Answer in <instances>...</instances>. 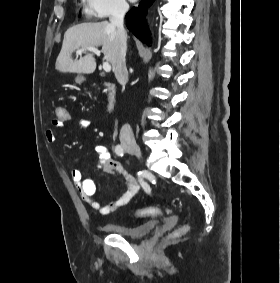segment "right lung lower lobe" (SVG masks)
Instances as JSON below:
<instances>
[{
    "label": "right lung lower lobe",
    "mask_w": 280,
    "mask_h": 283,
    "mask_svg": "<svg viewBox=\"0 0 280 283\" xmlns=\"http://www.w3.org/2000/svg\"><path fill=\"white\" fill-rule=\"evenodd\" d=\"M154 0H143L137 7H133L126 14V25L128 29L143 43L149 45L150 33L145 23V13Z\"/></svg>",
    "instance_id": "obj_1"
}]
</instances>
